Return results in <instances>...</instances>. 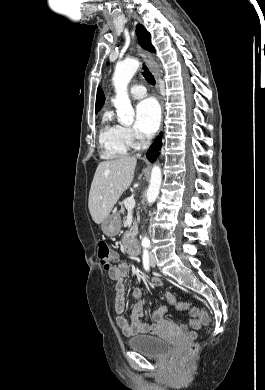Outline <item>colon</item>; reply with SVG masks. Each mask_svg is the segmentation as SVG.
Returning <instances> with one entry per match:
<instances>
[{"label": "colon", "mask_w": 265, "mask_h": 390, "mask_svg": "<svg viewBox=\"0 0 265 390\" xmlns=\"http://www.w3.org/2000/svg\"><path fill=\"white\" fill-rule=\"evenodd\" d=\"M98 257L101 262V265L104 269L110 270L115 261V256L109 245L105 242H100L98 244ZM168 302L174 306L178 310H187L189 308L188 303L180 302L177 300L174 294H167ZM191 315L196 318L201 324L208 325L210 318L207 312L199 309H191ZM199 346L197 344H193L189 350L186 352L184 356L185 361H189L194 355L197 353Z\"/></svg>", "instance_id": "1"}]
</instances>
